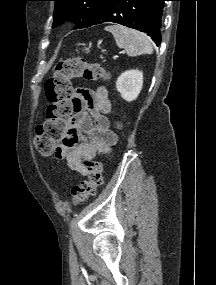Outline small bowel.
Returning <instances> with one entry per match:
<instances>
[{"label":"small bowel","mask_w":216,"mask_h":285,"mask_svg":"<svg viewBox=\"0 0 216 285\" xmlns=\"http://www.w3.org/2000/svg\"><path fill=\"white\" fill-rule=\"evenodd\" d=\"M75 100L76 110L56 155L64 158L72 170L86 176L88 170L83 161L93 159L97 152H109L116 142L108 118L112 106L104 87L78 89Z\"/></svg>","instance_id":"small-bowel-1"}]
</instances>
